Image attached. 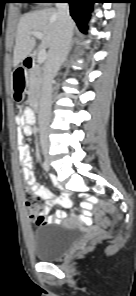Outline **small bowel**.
Here are the masks:
<instances>
[{
  "mask_svg": "<svg viewBox=\"0 0 136 296\" xmlns=\"http://www.w3.org/2000/svg\"><path fill=\"white\" fill-rule=\"evenodd\" d=\"M17 121L22 127V135L30 136L33 132L32 125L34 123V115L31 109L25 108L24 113L17 116ZM19 158L22 167V176L24 179L25 186L30 188L33 191V193L39 198L45 200L50 199L52 197V193L37 182L33 172V159L30 148L27 144L22 143L21 139L19 145ZM50 179L53 180V177H50ZM71 205V201L67 196H64L61 199L52 202L48 201L43 209V214L46 216L45 224L59 223L61 219L67 217L66 212L63 210L58 211L55 216H47L53 208V206L69 208L71 207ZM79 213L82 215V222L90 223L92 221L91 217L93 215L92 204L89 202L83 203L79 208ZM94 215L99 224H101L102 226L109 225L110 222L105 218L103 212L96 211Z\"/></svg>",
  "mask_w": 136,
  "mask_h": 296,
  "instance_id": "c3829d8e",
  "label": "small bowel"
}]
</instances>
